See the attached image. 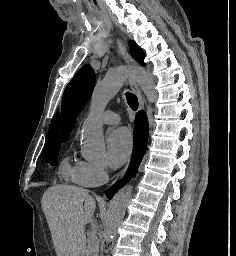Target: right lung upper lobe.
Segmentation results:
<instances>
[{"instance_id":"obj_1","label":"right lung upper lobe","mask_w":236,"mask_h":256,"mask_svg":"<svg viewBox=\"0 0 236 256\" xmlns=\"http://www.w3.org/2000/svg\"><path fill=\"white\" fill-rule=\"evenodd\" d=\"M59 114L56 115L50 129V133L46 142H59Z\"/></svg>"}]
</instances>
